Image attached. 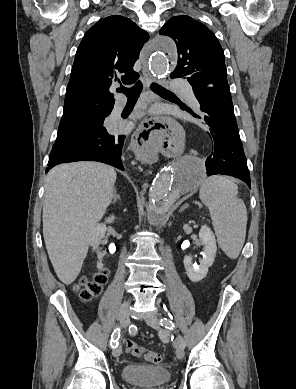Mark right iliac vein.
<instances>
[{"label": "right iliac vein", "instance_id": "1", "mask_svg": "<svg viewBox=\"0 0 296 389\" xmlns=\"http://www.w3.org/2000/svg\"><path fill=\"white\" fill-rule=\"evenodd\" d=\"M129 306H130V302L125 301L120 307L118 319H119L122 327H126L129 324V314H128L129 313ZM121 353H122L121 346L116 347L112 352L114 357H119L121 355Z\"/></svg>", "mask_w": 296, "mask_h": 389}]
</instances>
